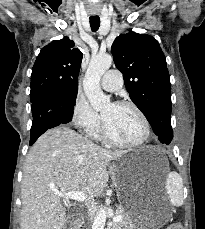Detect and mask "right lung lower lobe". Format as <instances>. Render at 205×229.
<instances>
[{
  "mask_svg": "<svg viewBox=\"0 0 205 229\" xmlns=\"http://www.w3.org/2000/svg\"><path fill=\"white\" fill-rule=\"evenodd\" d=\"M76 99L66 92H53L32 101L33 122L30 130L32 145L47 129L72 120Z\"/></svg>",
  "mask_w": 205,
  "mask_h": 229,
  "instance_id": "1",
  "label": "right lung lower lobe"
}]
</instances>
